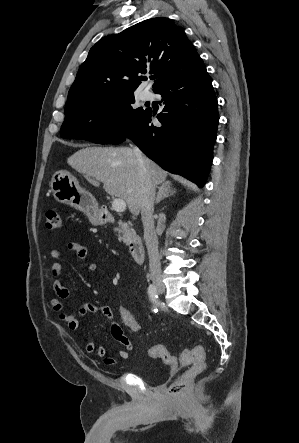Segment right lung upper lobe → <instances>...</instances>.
<instances>
[{"instance_id": "cb5924a9", "label": "right lung upper lobe", "mask_w": 299, "mask_h": 443, "mask_svg": "<svg viewBox=\"0 0 299 443\" xmlns=\"http://www.w3.org/2000/svg\"><path fill=\"white\" fill-rule=\"evenodd\" d=\"M205 67L182 28L168 18L142 21L100 39L89 51L68 93L72 104L134 93L147 72L153 91Z\"/></svg>"}]
</instances>
